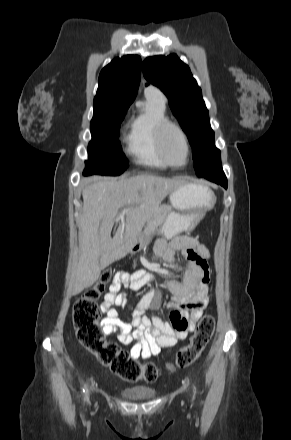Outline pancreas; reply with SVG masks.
I'll return each mask as SVG.
<instances>
[{
    "mask_svg": "<svg viewBox=\"0 0 291 440\" xmlns=\"http://www.w3.org/2000/svg\"><path fill=\"white\" fill-rule=\"evenodd\" d=\"M171 210L172 209L169 205H161L158 207L152 217L146 222L144 230L139 236V241L142 244L144 243L145 239L153 234L155 230L165 222V219Z\"/></svg>",
    "mask_w": 291,
    "mask_h": 440,
    "instance_id": "cf45deb5",
    "label": "pancreas"
}]
</instances>
